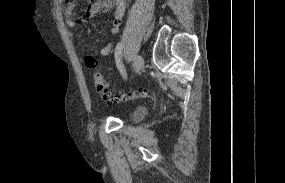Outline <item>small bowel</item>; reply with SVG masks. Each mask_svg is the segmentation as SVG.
Masks as SVG:
<instances>
[{
    "label": "small bowel",
    "mask_w": 285,
    "mask_h": 183,
    "mask_svg": "<svg viewBox=\"0 0 285 183\" xmlns=\"http://www.w3.org/2000/svg\"><path fill=\"white\" fill-rule=\"evenodd\" d=\"M125 0H97L92 4L88 11L89 16H93L100 12L112 11V22L110 26V33L112 36H116L119 32V28L122 22V18L125 11ZM74 4H68L64 8V16L66 19V23L69 27L73 29H79L80 23L73 19L74 16ZM114 42L111 41L106 46H104L99 54L100 56H107L111 52L113 48ZM85 63L89 68H96L99 64L98 57L94 55H87L85 57Z\"/></svg>",
    "instance_id": "1"
}]
</instances>
